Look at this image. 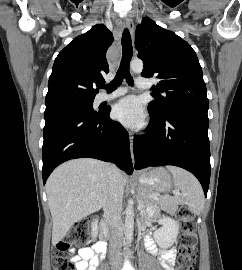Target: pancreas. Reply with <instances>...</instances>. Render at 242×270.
Wrapping results in <instances>:
<instances>
[{
	"instance_id": "pancreas-1",
	"label": "pancreas",
	"mask_w": 242,
	"mask_h": 270,
	"mask_svg": "<svg viewBox=\"0 0 242 270\" xmlns=\"http://www.w3.org/2000/svg\"><path fill=\"white\" fill-rule=\"evenodd\" d=\"M156 193L151 191H143L138 196V202L139 204H142L144 208L148 206H152L154 204H160L161 208L168 212V213H174L177 210V206L173 205L171 203H160L158 202L154 197H156Z\"/></svg>"
}]
</instances>
